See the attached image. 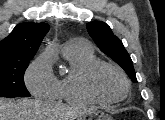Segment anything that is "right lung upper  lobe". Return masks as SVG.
<instances>
[{
    "label": "right lung upper lobe",
    "instance_id": "cb5924a9",
    "mask_svg": "<svg viewBox=\"0 0 165 120\" xmlns=\"http://www.w3.org/2000/svg\"><path fill=\"white\" fill-rule=\"evenodd\" d=\"M49 28L47 23L18 24L12 33L0 42V61L32 59Z\"/></svg>",
    "mask_w": 165,
    "mask_h": 120
}]
</instances>
